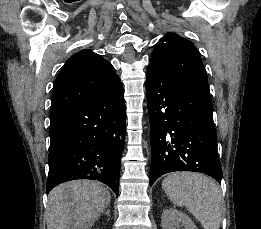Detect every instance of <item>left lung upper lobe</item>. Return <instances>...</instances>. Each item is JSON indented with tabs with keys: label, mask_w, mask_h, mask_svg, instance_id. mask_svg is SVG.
<instances>
[{
	"label": "left lung upper lobe",
	"mask_w": 261,
	"mask_h": 229,
	"mask_svg": "<svg viewBox=\"0 0 261 229\" xmlns=\"http://www.w3.org/2000/svg\"><path fill=\"white\" fill-rule=\"evenodd\" d=\"M148 70L176 79L208 84L206 70L196 47L189 40L173 33L157 42Z\"/></svg>",
	"instance_id": "obj_1"
}]
</instances>
